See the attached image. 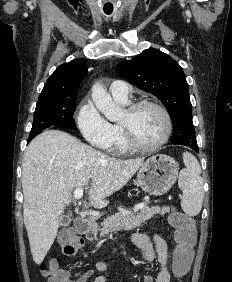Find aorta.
<instances>
[{
    "label": "aorta",
    "instance_id": "obj_1",
    "mask_svg": "<svg viewBox=\"0 0 232 282\" xmlns=\"http://www.w3.org/2000/svg\"><path fill=\"white\" fill-rule=\"evenodd\" d=\"M92 99L97 109L103 113L108 120L116 122L121 119L122 109L113 102L112 97L107 93L100 82H96L92 86Z\"/></svg>",
    "mask_w": 232,
    "mask_h": 282
}]
</instances>
